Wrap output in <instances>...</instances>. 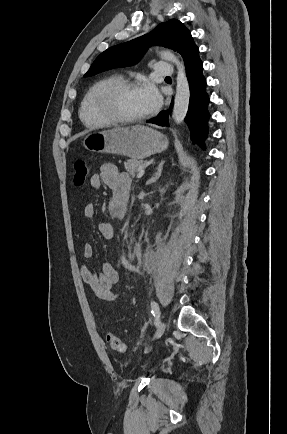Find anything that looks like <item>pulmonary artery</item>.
Segmentation results:
<instances>
[{
  "instance_id": "e3ab8cb5",
  "label": "pulmonary artery",
  "mask_w": 287,
  "mask_h": 434,
  "mask_svg": "<svg viewBox=\"0 0 287 434\" xmlns=\"http://www.w3.org/2000/svg\"><path fill=\"white\" fill-rule=\"evenodd\" d=\"M154 73L160 76H172L174 73L173 66L167 63H157L154 66Z\"/></svg>"
}]
</instances>
